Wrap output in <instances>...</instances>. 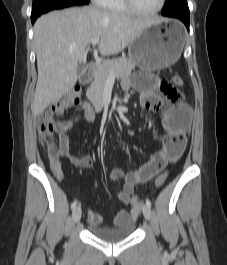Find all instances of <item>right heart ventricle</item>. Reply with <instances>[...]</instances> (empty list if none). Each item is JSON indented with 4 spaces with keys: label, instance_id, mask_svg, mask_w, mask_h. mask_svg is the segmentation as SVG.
Here are the masks:
<instances>
[{
    "label": "right heart ventricle",
    "instance_id": "1",
    "mask_svg": "<svg viewBox=\"0 0 227 265\" xmlns=\"http://www.w3.org/2000/svg\"><path fill=\"white\" fill-rule=\"evenodd\" d=\"M108 11L115 13H132L129 8L126 6L124 0H102L99 4Z\"/></svg>",
    "mask_w": 227,
    "mask_h": 265
}]
</instances>
